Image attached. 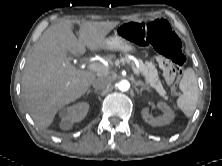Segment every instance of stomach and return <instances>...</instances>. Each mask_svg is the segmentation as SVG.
Here are the masks:
<instances>
[{"instance_id": "0dacf381", "label": "stomach", "mask_w": 222, "mask_h": 166, "mask_svg": "<svg viewBox=\"0 0 222 166\" xmlns=\"http://www.w3.org/2000/svg\"><path fill=\"white\" fill-rule=\"evenodd\" d=\"M104 49L112 51H121L124 53L136 51V48L132 45V43L123 40L117 32H115L114 36L105 38Z\"/></svg>"}]
</instances>
